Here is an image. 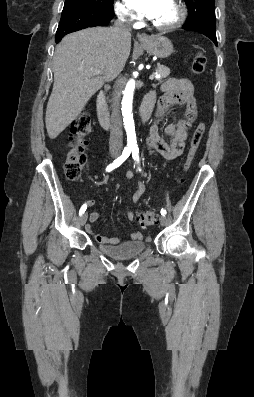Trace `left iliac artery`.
Here are the masks:
<instances>
[{
	"mask_svg": "<svg viewBox=\"0 0 254 397\" xmlns=\"http://www.w3.org/2000/svg\"><path fill=\"white\" fill-rule=\"evenodd\" d=\"M132 157H133L135 163L138 165V164H139V149H138V147H134V148L132 149ZM139 170L141 171L140 168H139ZM166 213H167L166 210H165L164 208H162V209H161V214H162L163 216H165Z\"/></svg>",
	"mask_w": 254,
	"mask_h": 397,
	"instance_id": "1",
	"label": "left iliac artery"
}]
</instances>
